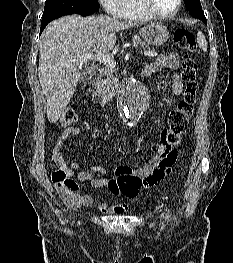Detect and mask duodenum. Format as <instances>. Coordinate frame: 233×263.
Masks as SVG:
<instances>
[{
	"instance_id": "duodenum-1",
	"label": "duodenum",
	"mask_w": 233,
	"mask_h": 263,
	"mask_svg": "<svg viewBox=\"0 0 233 263\" xmlns=\"http://www.w3.org/2000/svg\"><path fill=\"white\" fill-rule=\"evenodd\" d=\"M95 76L94 69H88L83 73V80L90 81ZM140 77L146 76V73L143 71L139 74ZM124 82V76H117V78H108L104 80L102 85H97L95 89L94 97L95 99L102 98V102H107L109 99L108 94L117 92L120 90V83ZM117 83V85H115Z\"/></svg>"
}]
</instances>
